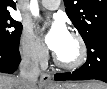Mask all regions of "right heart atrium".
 Segmentation results:
<instances>
[{
    "mask_svg": "<svg viewBox=\"0 0 107 89\" xmlns=\"http://www.w3.org/2000/svg\"><path fill=\"white\" fill-rule=\"evenodd\" d=\"M22 57L31 64L42 65L46 61L47 52L42 41L30 28H24L19 42Z\"/></svg>",
    "mask_w": 107,
    "mask_h": 89,
    "instance_id": "obj_1",
    "label": "right heart atrium"
}]
</instances>
